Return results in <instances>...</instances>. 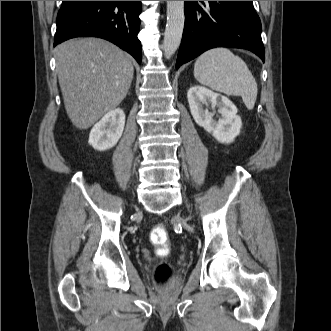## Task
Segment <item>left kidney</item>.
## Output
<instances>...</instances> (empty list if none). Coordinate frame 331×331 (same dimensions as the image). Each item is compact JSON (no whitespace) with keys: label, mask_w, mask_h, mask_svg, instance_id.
Returning <instances> with one entry per match:
<instances>
[{"label":"left kidney","mask_w":331,"mask_h":331,"mask_svg":"<svg viewBox=\"0 0 331 331\" xmlns=\"http://www.w3.org/2000/svg\"><path fill=\"white\" fill-rule=\"evenodd\" d=\"M187 98L195 122L217 141L229 144L240 134L241 118L237 115L236 106L227 97L205 87L194 86L188 90ZM208 106L218 107V120L213 119L214 113L208 111Z\"/></svg>","instance_id":"5707ae66"}]
</instances>
